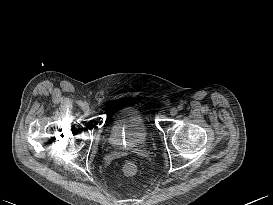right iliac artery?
Returning a JSON list of instances; mask_svg holds the SVG:
<instances>
[{"instance_id": "82829eb1", "label": "right iliac artery", "mask_w": 273, "mask_h": 205, "mask_svg": "<svg viewBox=\"0 0 273 205\" xmlns=\"http://www.w3.org/2000/svg\"><path fill=\"white\" fill-rule=\"evenodd\" d=\"M82 104H83L82 101H78L79 106H82Z\"/></svg>"}]
</instances>
